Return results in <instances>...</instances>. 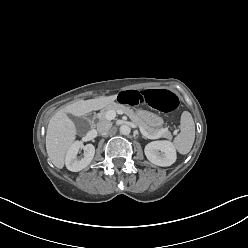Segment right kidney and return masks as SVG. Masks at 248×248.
Listing matches in <instances>:
<instances>
[{
  "label": "right kidney",
  "mask_w": 248,
  "mask_h": 248,
  "mask_svg": "<svg viewBox=\"0 0 248 248\" xmlns=\"http://www.w3.org/2000/svg\"><path fill=\"white\" fill-rule=\"evenodd\" d=\"M81 149L80 142H74L67 151L65 164L68 170L72 172H78L87 167L95 154V147L92 144H86L84 146V157L82 159L77 158V154Z\"/></svg>",
  "instance_id": "ca27d5eb"
}]
</instances>
